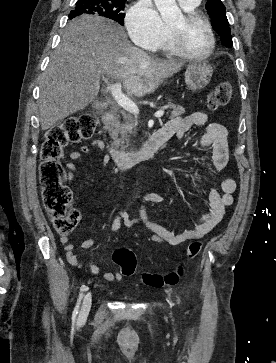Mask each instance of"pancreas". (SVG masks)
Returning a JSON list of instances; mask_svg holds the SVG:
<instances>
[{"mask_svg":"<svg viewBox=\"0 0 276 363\" xmlns=\"http://www.w3.org/2000/svg\"><path fill=\"white\" fill-rule=\"evenodd\" d=\"M167 107L171 109L170 118H175L185 113V109L183 107L171 102L167 104ZM127 119L128 121L126 123L121 124L119 120H116L108 126L109 135L113 139L115 147L121 146L122 149H125L129 145L128 134H135V130L138 125L137 119L130 116H128ZM119 134L121 135V138L118 137Z\"/></svg>","mask_w":276,"mask_h":363,"instance_id":"cf45deb5","label":"pancreas"}]
</instances>
